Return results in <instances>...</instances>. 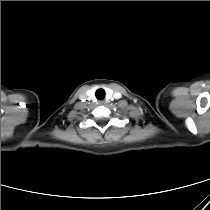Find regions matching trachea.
Returning a JSON list of instances; mask_svg holds the SVG:
<instances>
[{"instance_id": "1", "label": "trachea", "mask_w": 210, "mask_h": 210, "mask_svg": "<svg viewBox=\"0 0 210 210\" xmlns=\"http://www.w3.org/2000/svg\"><path fill=\"white\" fill-rule=\"evenodd\" d=\"M95 95H96V98H97L98 100H103L104 97H105V91H104L103 89H98V90L96 91Z\"/></svg>"}]
</instances>
